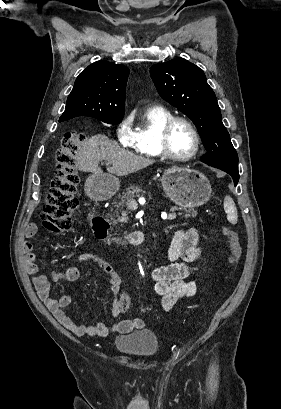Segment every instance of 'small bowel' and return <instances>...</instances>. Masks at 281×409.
<instances>
[{
  "mask_svg": "<svg viewBox=\"0 0 281 409\" xmlns=\"http://www.w3.org/2000/svg\"><path fill=\"white\" fill-rule=\"evenodd\" d=\"M36 233L37 225L30 223L26 230V236L31 238ZM24 251L26 269L32 278L38 298L47 306L54 317L74 334L104 337L110 334H127L133 330L144 328V321L141 318L124 319L112 325L104 323L78 324L63 310L71 304V296L67 293L61 294L58 299L50 296L51 282L75 281L80 276L78 265L92 263L109 276L108 289L113 297L112 315L117 317L124 313L129 308L130 295L121 288L120 275L103 258L92 254L80 255L76 260V265L69 266L64 271H52L48 279L39 274L36 256L32 252V244L29 241L24 243ZM199 253L196 230L179 229L172 237L168 248L163 251V256L169 263L158 266L151 271L150 278L154 284L155 293L162 298V307L165 311H170L178 302L195 296L199 292L198 285L190 279V263L198 258Z\"/></svg>",
  "mask_w": 281,
  "mask_h": 409,
  "instance_id": "obj_1",
  "label": "small bowel"
}]
</instances>
